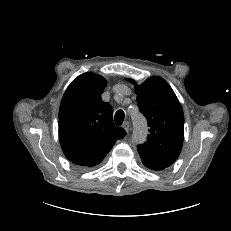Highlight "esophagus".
I'll return each instance as SVG.
<instances>
[{"instance_id":"obj_1","label":"esophagus","mask_w":231,"mask_h":231,"mask_svg":"<svg viewBox=\"0 0 231 231\" xmlns=\"http://www.w3.org/2000/svg\"><path fill=\"white\" fill-rule=\"evenodd\" d=\"M123 128L125 129V131L127 133H129V130H130V123L128 121L124 122L123 123Z\"/></svg>"}]
</instances>
